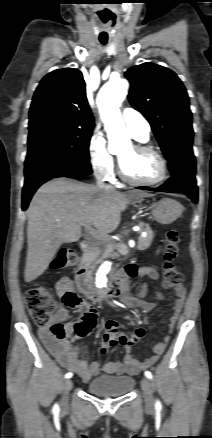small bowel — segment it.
<instances>
[{"label":"small bowel","mask_w":212,"mask_h":438,"mask_svg":"<svg viewBox=\"0 0 212 438\" xmlns=\"http://www.w3.org/2000/svg\"><path fill=\"white\" fill-rule=\"evenodd\" d=\"M136 276L147 277L152 280H157L159 278L158 271L154 267H138L135 264L127 265L119 275V278L122 281V299L127 298V296L129 295L128 287L126 284L127 278ZM56 289L59 295H61L62 292L65 290H73L72 281L67 277H62L57 282ZM148 292L149 286L147 284H144L142 286L136 285L134 287V294L139 298H144L148 294ZM174 292L176 295V300L173 305V315L170 318V323L168 327L169 332L174 329L175 323L183 308L186 297V289L182 284L175 286ZM155 295L156 301H136L135 305L143 310H152L165 300V296L161 291L155 290ZM67 307L78 309L81 312V317L76 321L66 322V328H72L77 323H83L88 327V333H90L94 329L98 319V313L95 308H93L80 298L77 304ZM68 314V309L59 305L56 307L54 319L56 321L65 322L68 318ZM148 328L149 325L139 327L135 330V332L131 334H126L120 331V324L117 321H107L104 325V332L102 335L101 353L104 354L109 349L115 348L118 345H122L126 349L127 354L123 360L117 359L115 361H110L102 365L98 361H93L89 364L85 358H81L79 356L80 348L78 346L73 345L70 340H58L46 327H41L39 329V335L48 347V349L51 351V353L59 360L62 366L79 375L84 382H88L93 377L101 373L116 375H137L141 371L152 365L165 349L167 343L169 342L170 336L167 335L160 344L155 346L154 356L146 360H138L131 354V348L138 340L145 337Z\"/></svg>","instance_id":"1"}]
</instances>
